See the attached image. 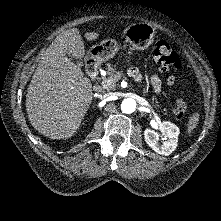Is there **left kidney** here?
I'll return each mask as SVG.
<instances>
[{
    "label": "left kidney",
    "mask_w": 221,
    "mask_h": 221,
    "mask_svg": "<svg viewBox=\"0 0 221 221\" xmlns=\"http://www.w3.org/2000/svg\"><path fill=\"white\" fill-rule=\"evenodd\" d=\"M160 130L162 134L166 137L162 144L159 143V135L157 132L151 129H145L144 138L146 143L158 154L168 156L177 147L179 128L169 122L164 121L160 125Z\"/></svg>",
    "instance_id": "1"
}]
</instances>
